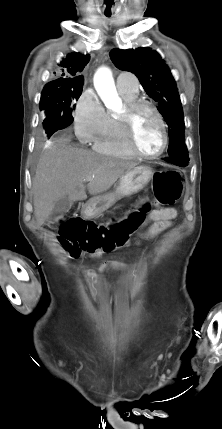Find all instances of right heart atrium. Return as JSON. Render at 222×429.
Masks as SVG:
<instances>
[{
  "label": "right heart atrium",
  "instance_id": "1",
  "mask_svg": "<svg viewBox=\"0 0 222 429\" xmlns=\"http://www.w3.org/2000/svg\"><path fill=\"white\" fill-rule=\"evenodd\" d=\"M73 119L78 139L83 143H89L102 134L108 115L94 91L88 89L77 100Z\"/></svg>",
  "mask_w": 222,
  "mask_h": 429
}]
</instances>
